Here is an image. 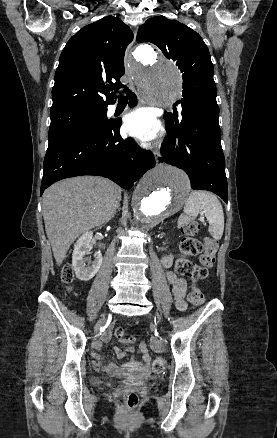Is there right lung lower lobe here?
Wrapping results in <instances>:
<instances>
[{
    "label": "right lung lower lobe",
    "mask_w": 277,
    "mask_h": 438,
    "mask_svg": "<svg viewBox=\"0 0 277 438\" xmlns=\"http://www.w3.org/2000/svg\"><path fill=\"white\" fill-rule=\"evenodd\" d=\"M128 95L130 105L134 104L135 95L131 91ZM120 125L107 119L100 127H85L49 142L40 195L58 180L81 175L103 176L130 189L155 166V160L151 152L142 150L131 138L123 140Z\"/></svg>",
    "instance_id": "1"
}]
</instances>
